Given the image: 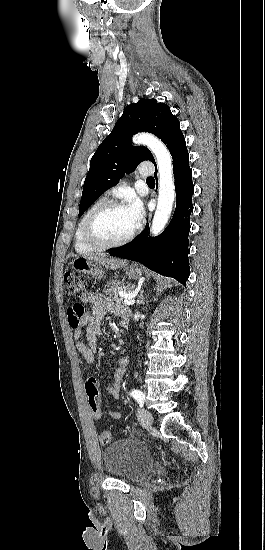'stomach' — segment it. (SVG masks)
<instances>
[{
	"label": "stomach",
	"mask_w": 265,
	"mask_h": 550,
	"mask_svg": "<svg viewBox=\"0 0 265 550\" xmlns=\"http://www.w3.org/2000/svg\"><path fill=\"white\" fill-rule=\"evenodd\" d=\"M71 266L77 272L91 275L94 278H101L103 276L101 265L93 259L76 257L71 262ZM125 272L130 279H137L142 274L141 269L135 265L127 266Z\"/></svg>",
	"instance_id": "stomach-1"
}]
</instances>
